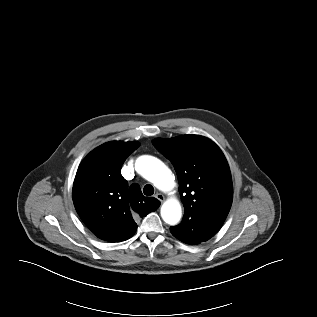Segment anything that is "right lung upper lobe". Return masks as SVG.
<instances>
[{
    "mask_svg": "<svg viewBox=\"0 0 317 317\" xmlns=\"http://www.w3.org/2000/svg\"><path fill=\"white\" fill-rule=\"evenodd\" d=\"M137 142H107L80 164L73 184V202L85 225L100 239L120 242L136 231L135 220L155 211L160 202L143 196L136 183L128 188L121 175L126 158Z\"/></svg>",
    "mask_w": 317,
    "mask_h": 317,
    "instance_id": "right-lung-upper-lobe-1",
    "label": "right lung upper lobe"
}]
</instances>
